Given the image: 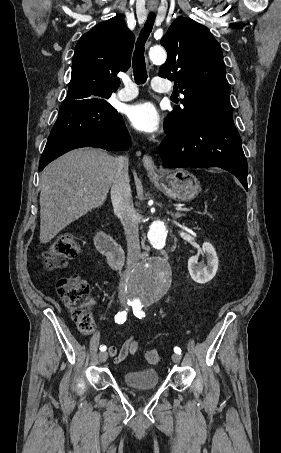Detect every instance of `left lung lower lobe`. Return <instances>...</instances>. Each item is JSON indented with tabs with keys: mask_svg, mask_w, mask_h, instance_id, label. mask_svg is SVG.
Here are the masks:
<instances>
[{
	"mask_svg": "<svg viewBox=\"0 0 281 453\" xmlns=\"http://www.w3.org/2000/svg\"><path fill=\"white\" fill-rule=\"evenodd\" d=\"M158 149L165 167H220L248 190L247 161L232 114L197 119L170 131Z\"/></svg>",
	"mask_w": 281,
	"mask_h": 453,
	"instance_id": "1",
	"label": "left lung lower lobe"
}]
</instances>
